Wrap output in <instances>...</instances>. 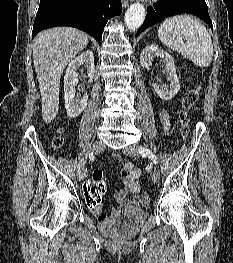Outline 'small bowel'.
I'll return each mask as SVG.
<instances>
[{
  "mask_svg": "<svg viewBox=\"0 0 233 263\" xmlns=\"http://www.w3.org/2000/svg\"><path fill=\"white\" fill-rule=\"evenodd\" d=\"M159 115L164 132L169 134L171 121L168 112L165 110H160ZM114 160L116 163L122 162V158L120 156H115ZM141 174V170L139 168H135L132 163L127 162L123 165L121 170V178L125 188L115 193V200L118 204H120L118 210L136 208L140 205V198L138 194L141 190L139 181ZM91 210L100 221L107 218V215L101 209L100 202L96 208H91Z\"/></svg>",
  "mask_w": 233,
  "mask_h": 263,
  "instance_id": "1",
  "label": "small bowel"
}]
</instances>
